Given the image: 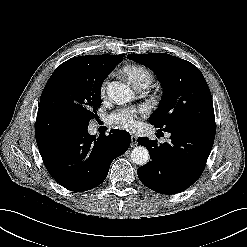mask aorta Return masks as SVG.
Segmentation results:
<instances>
[{
    "label": "aorta",
    "mask_w": 247,
    "mask_h": 247,
    "mask_svg": "<svg viewBox=\"0 0 247 247\" xmlns=\"http://www.w3.org/2000/svg\"><path fill=\"white\" fill-rule=\"evenodd\" d=\"M107 94L112 101L118 104L127 103L134 96L132 90L127 85L118 81H113L108 85ZM130 157L133 163L139 166L147 164L150 159L149 151L144 146L135 147Z\"/></svg>",
    "instance_id": "obj_1"
}]
</instances>
